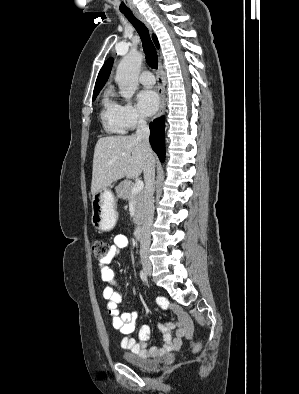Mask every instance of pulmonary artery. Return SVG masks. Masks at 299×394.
Returning a JSON list of instances; mask_svg holds the SVG:
<instances>
[{
	"label": "pulmonary artery",
	"mask_w": 299,
	"mask_h": 394,
	"mask_svg": "<svg viewBox=\"0 0 299 394\" xmlns=\"http://www.w3.org/2000/svg\"><path fill=\"white\" fill-rule=\"evenodd\" d=\"M139 81L146 87H152L155 84V78L150 71H143L139 76Z\"/></svg>",
	"instance_id": "obj_1"
}]
</instances>
